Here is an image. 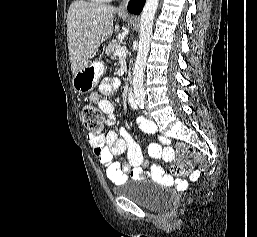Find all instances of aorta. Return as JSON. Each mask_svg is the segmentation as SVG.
Segmentation results:
<instances>
[{
	"instance_id": "762f6f07",
	"label": "aorta",
	"mask_w": 257,
	"mask_h": 237,
	"mask_svg": "<svg viewBox=\"0 0 257 237\" xmlns=\"http://www.w3.org/2000/svg\"><path fill=\"white\" fill-rule=\"evenodd\" d=\"M158 4L159 0H147L140 17L139 48L133 71V90L137 100L145 98L144 71Z\"/></svg>"
}]
</instances>
